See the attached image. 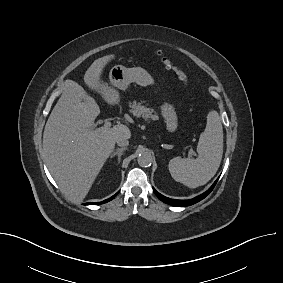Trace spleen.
<instances>
[{
    "mask_svg": "<svg viewBox=\"0 0 283 283\" xmlns=\"http://www.w3.org/2000/svg\"><path fill=\"white\" fill-rule=\"evenodd\" d=\"M198 158L175 157L169 162L172 178L189 188L205 185L220 166L223 155V127L217 111L207 115V124L197 145Z\"/></svg>",
    "mask_w": 283,
    "mask_h": 283,
    "instance_id": "1",
    "label": "spleen"
}]
</instances>
